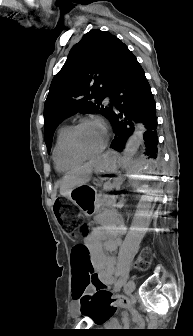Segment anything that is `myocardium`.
Here are the masks:
<instances>
[{
	"label": "myocardium",
	"instance_id": "obj_1",
	"mask_svg": "<svg viewBox=\"0 0 193 336\" xmlns=\"http://www.w3.org/2000/svg\"><path fill=\"white\" fill-rule=\"evenodd\" d=\"M88 123H97L100 126H102V128L104 129L105 132V138L104 141L102 143V145L96 149L95 151H86L84 150L77 141V133L78 131L86 124ZM110 138V133H109V129L108 127L99 119H94V118H83L81 120H79L74 126H72L70 128V131L68 133V147L69 150L76 156L79 157H83V158H90V157H94L96 155L101 154L109 141Z\"/></svg>",
	"mask_w": 193,
	"mask_h": 336
}]
</instances>
